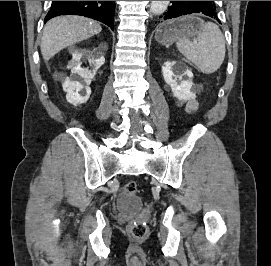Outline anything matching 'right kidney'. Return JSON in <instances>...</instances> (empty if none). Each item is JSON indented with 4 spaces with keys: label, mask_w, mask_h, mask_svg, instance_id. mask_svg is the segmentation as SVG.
<instances>
[{
    "label": "right kidney",
    "mask_w": 271,
    "mask_h": 266,
    "mask_svg": "<svg viewBox=\"0 0 271 266\" xmlns=\"http://www.w3.org/2000/svg\"><path fill=\"white\" fill-rule=\"evenodd\" d=\"M88 57L90 65L94 66L93 71L81 68L80 60L84 57ZM105 61L103 56H98L92 51L82 52L74 51L71 65V76L66 77L63 81V90L67 93L66 100L74 106L86 103L90 97L91 89L89 84L91 79L94 78L97 69H99Z\"/></svg>",
    "instance_id": "1"
}]
</instances>
